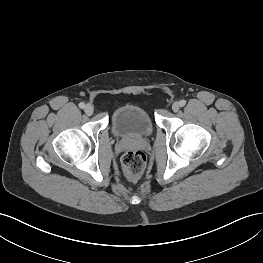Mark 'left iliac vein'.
Masks as SVG:
<instances>
[{"instance_id":"1","label":"left iliac vein","mask_w":263,"mask_h":263,"mask_svg":"<svg viewBox=\"0 0 263 263\" xmlns=\"http://www.w3.org/2000/svg\"><path fill=\"white\" fill-rule=\"evenodd\" d=\"M179 109H180V104H179V102H174V103L172 104V110H173L174 112H178Z\"/></svg>"}]
</instances>
